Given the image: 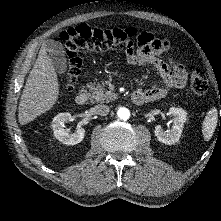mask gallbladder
<instances>
[{
    "instance_id": "1",
    "label": "gallbladder",
    "mask_w": 221,
    "mask_h": 221,
    "mask_svg": "<svg viewBox=\"0 0 221 221\" xmlns=\"http://www.w3.org/2000/svg\"><path fill=\"white\" fill-rule=\"evenodd\" d=\"M46 47L55 70L60 74L65 73L67 70V59L61 42L49 40L46 42Z\"/></svg>"
}]
</instances>
